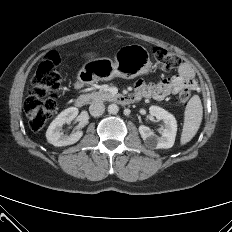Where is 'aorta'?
Segmentation results:
<instances>
[{"mask_svg":"<svg viewBox=\"0 0 232 232\" xmlns=\"http://www.w3.org/2000/svg\"><path fill=\"white\" fill-rule=\"evenodd\" d=\"M118 111H119V107L116 104L113 103L108 106V112L110 114H113V115L117 114Z\"/></svg>","mask_w":232,"mask_h":232,"instance_id":"aorta-1","label":"aorta"}]
</instances>
